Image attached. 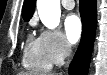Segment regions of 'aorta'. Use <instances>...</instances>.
Wrapping results in <instances>:
<instances>
[{"instance_id":"1","label":"aorta","mask_w":107,"mask_h":75,"mask_svg":"<svg viewBox=\"0 0 107 75\" xmlns=\"http://www.w3.org/2000/svg\"><path fill=\"white\" fill-rule=\"evenodd\" d=\"M38 14L41 22L49 29L56 28L60 23V0H38Z\"/></svg>"}]
</instances>
